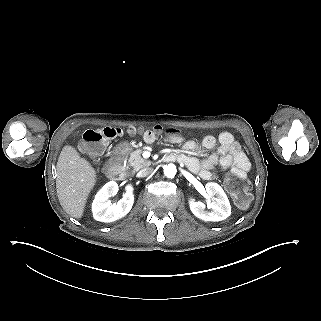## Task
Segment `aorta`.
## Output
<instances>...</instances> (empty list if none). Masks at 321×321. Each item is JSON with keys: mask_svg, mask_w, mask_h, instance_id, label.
I'll return each instance as SVG.
<instances>
[{"mask_svg": "<svg viewBox=\"0 0 321 321\" xmlns=\"http://www.w3.org/2000/svg\"><path fill=\"white\" fill-rule=\"evenodd\" d=\"M176 172H177V169L174 164H168L164 167V175L167 178H174V176L176 175Z\"/></svg>", "mask_w": 321, "mask_h": 321, "instance_id": "1", "label": "aorta"}]
</instances>
